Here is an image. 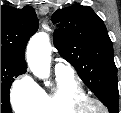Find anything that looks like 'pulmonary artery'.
<instances>
[{
    "label": "pulmonary artery",
    "mask_w": 121,
    "mask_h": 113,
    "mask_svg": "<svg viewBox=\"0 0 121 113\" xmlns=\"http://www.w3.org/2000/svg\"><path fill=\"white\" fill-rule=\"evenodd\" d=\"M72 72H73L72 67L65 64V63L58 62L55 65V73L56 74H69V73H72Z\"/></svg>",
    "instance_id": "pulmonary-artery-1"
}]
</instances>
